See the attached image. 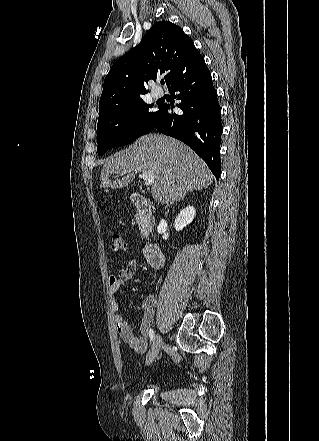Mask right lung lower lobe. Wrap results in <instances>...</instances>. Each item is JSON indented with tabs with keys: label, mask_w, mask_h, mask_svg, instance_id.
Instances as JSON below:
<instances>
[{
	"label": "right lung lower lobe",
	"mask_w": 319,
	"mask_h": 441,
	"mask_svg": "<svg viewBox=\"0 0 319 441\" xmlns=\"http://www.w3.org/2000/svg\"><path fill=\"white\" fill-rule=\"evenodd\" d=\"M168 89L171 94L178 92L176 97L181 100L178 107L183 114L178 115L172 107L162 104L154 128L191 147L219 179L223 132L221 108L204 59L174 81Z\"/></svg>",
	"instance_id": "obj_1"
}]
</instances>
